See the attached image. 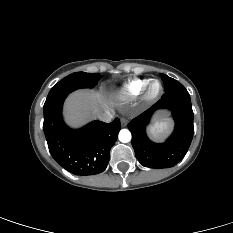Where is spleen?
<instances>
[{
    "label": "spleen",
    "mask_w": 233,
    "mask_h": 233,
    "mask_svg": "<svg viewBox=\"0 0 233 233\" xmlns=\"http://www.w3.org/2000/svg\"><path fill=\"white\" fill-rule=\"evenodd\" d=\"M171 127L172 123L169 120L159 121L149 127V134L152 138L159 139L164 134L168 133Z\"/></svg>",
    "instance_id": "1"
}]
</instances>
